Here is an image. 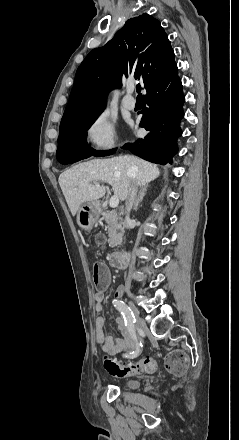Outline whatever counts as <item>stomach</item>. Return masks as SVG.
<instances>
[{
  "label": "stomach",
  "mask_w": 239,
  "mask_h": 440,
  "mask_svg": "<svg viewBox=\"0 0 239 440\" xmlns=\"http://www.w3.org/2000/svg\"><path fill=\"white\" fill-rule=\"evenodd\" d=\"M101 214V204L98 200H92V202H83L77 212V224L85 230L90 232L95 222H97Z\"/></svg>",
  "instance_id": "1"
}]
</instances>
